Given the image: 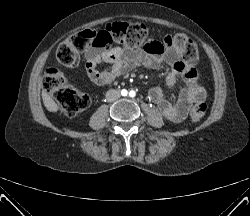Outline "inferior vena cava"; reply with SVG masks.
Segmentation results:
<instances>
[{
	"label": "inferior vena cava",
	"mask_w": 250,
	"mask_h": 216,
	"mask_svg": "<svg viewBox=\"0 0 250 216\" xmlns=\"http://www.w3.org/2000/svg\"><path fill=\"white\" fill-rule=\"evenodd\" d=\"M120 98V93L119 91H116L114 89H111L107 91L106 93V99L108 102H114Z\"/></svg>",
	"instance_id": "1"
}]
</instances>
